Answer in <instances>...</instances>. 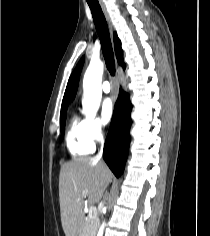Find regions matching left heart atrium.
<instances>
[{"label": "left heart atrium", "mask_w": 210, "mask_h": 236, "mask_svg": "<svg viewBox=\"0 0 210 236\" xmlns=\"http://www.w3.org/2000/svg\"><path fill=\"white\" fill-rule=\"evenodd\" d=\"M114 114L113 101L110 98H106L101 105V118L104 124L111 121Z\"/></svg>", "instance_id": "1"}]
</instances>
